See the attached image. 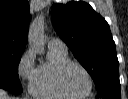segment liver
I'll return each instance as SVG.
<instances>
[{
  "instance_id": "liver-1",
  "label": "liver",
  "mask_w": 128,
  "mask_h": 99,
  "mask_svg": "<svg viewBox=\"0 0 128 99\" xmlns=\"http://www.w3.org/2000/svg\"><path fill=\"white\" fill-rule=\"evenodd\" d=\"M0 99H10V97L7 95L6 91L0 89Z\"/></svg>"
}]
</instances>
